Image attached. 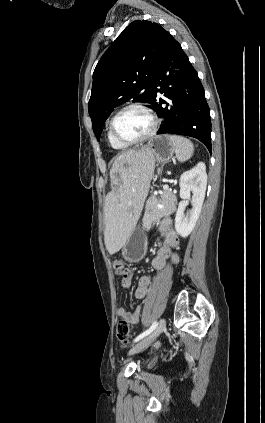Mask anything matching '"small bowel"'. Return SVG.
<instances>
[{
	"label": "small bowel",
	"mask_w": 265,
	"mask_h": 423,
	"mask_svg": "<svg viewBox=\"0 0 265 423\" xmlns=\"http://www.w3.org/2000/svg\"><path fill=\"white\" fill-rule=\"evenodd\" d=\"M159 233L161 236V247L157 254L152 260V267L155 270H163L168 261L177 262L178 257L174 252V249L178 246L179 240L176 232L172 226V220L170 218H163L159 225ZM117 275L121 277V285L124 289H127L131 285L132 271L124 267L122 271H116ZM150 286V278L148 276H142L138 280L137 288L135 290V297L139 300H143L148 292ZM141 314V308L138 307L133 313L128 312L124 308H118L116 310L117 317L135 326L138 323L139 316Z\"/></svg>",
	"instance_id": "obj_1"
}]
</instances>
